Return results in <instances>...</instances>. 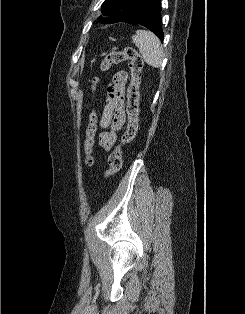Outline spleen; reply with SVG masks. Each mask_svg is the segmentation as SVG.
Returning a JSON list of instances; mask_svg holds the SVG:
<instances>
[{
	"instance_id": "3e777b00",
	"label": "spleen",
	"mask_w": 245,
	"mask_h": 314,
	"mask_svg": "<svg viewBox=\"0 0 245 314\" xmlns=\"http://www.w3.org/2000/svg\"><path fill=\"white\" fill-rule=\"evenodd\" d=\"M132 41L139 49L144 61L151 67L159 68L163 61V49L158 37L150 31L137 30Z\"/></svg>"
}]
</instances>
